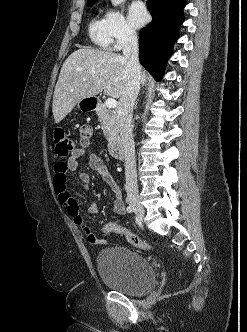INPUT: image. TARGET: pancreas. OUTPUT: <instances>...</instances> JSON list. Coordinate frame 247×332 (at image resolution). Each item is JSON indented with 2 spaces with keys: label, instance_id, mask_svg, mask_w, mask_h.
<instances>
[{
  "label": "pancreas",
  "instance_id": "pancreas-1",
  "mask_svg": "<svg viewBox=\"0 0 247 332\" xmlns=\"http://www.w3.org/2000/svg\"><path fill=\"white\" fill-rule=\"evenodd\" d=\"M96 112L105 138L109 142L116 141L118 139V123L115 112L108 109L104 104H101Z\"/></svg>",
  "mask_w": 247,
  "mask_h": 332
}]
</instances>
